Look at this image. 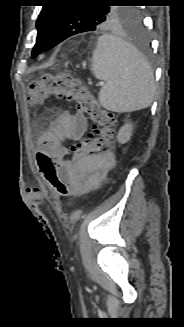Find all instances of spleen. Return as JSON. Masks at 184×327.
I'll return each mask as SVG.
<instances>
[{
  "label": "spleen",
  "mask_w": 184,
  "mask_h": 327,
  "mask_svg": "<svg viewBox=\"0 0 184 327\" xmlns=\"http://www.w3.org/2000/svg\"><path fill=\"white\" fill-rule=\"evenodd\" d=\"M91 61L94 76L105 81L99 92L105 109L131 112L151 104L155 93L153 71L130 43L104 34L98 38Z\"/></svg>",
  "instance_id": "spleen-1"
}]
</instances>
